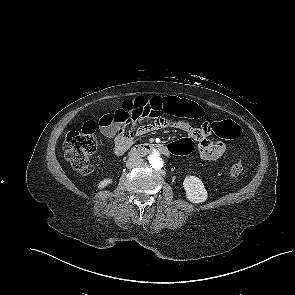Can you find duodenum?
Returning <instances> with one entry per match:
<instances>
[{"label": "duodenum", "mask_w": 295, "mask_h": 295, "mask_svg": "<svg viewBox=\"0 0 295 295\" xmlns=\"http://www.w3.org/2000/svg\"><path fill=\"white\" fill-rule=\"evenodd\" d=\"M152 151H159L164 154H169L166 149V146L160 143H144L134 146L130 150L131 156H142Z\"/></svg>", "instance_id": "obj_1"}]
</instances>
